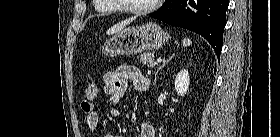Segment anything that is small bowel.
<instances>
[{
  "instance_id": "c3829d8e",
  "label": "small bowel",
  "mask_w": 280,
  "mask_h": 137,
  "mask_svg": "<svg viewBox=\"0 0 280 137\" xmlns=\"http://www.w3.org/2000/svg\"><path fill=\"white\" fill-rule=\"evenodd\" d=\"M129 82L139 92L146 91L150 84L148 78L143 76L137 67L131 65H120L103 76L104 91L110 97L109 114L111 117H118L120 115L119 101L127 90ZM81 108L86 116L87 128L93 133L99 124V114L95 110V104L92 101H83ZM105 137L117 136L107 134ZM139 137H154L153 125L142 123Z\"/></svg>"
}]
</instances>
